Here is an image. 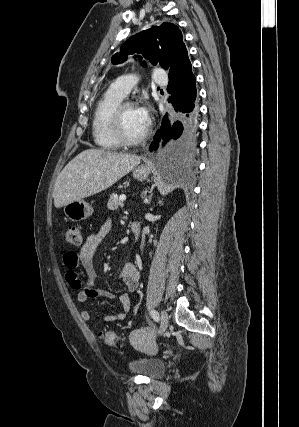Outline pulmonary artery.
I'll return each mask as SVG.
<instances>
[{
  "label": "pulmonary artery",
  "mask_w": 299,
  "mask_h": 427,
  "mask_svg": "<svg viewBox=\"0 0 299 427\" xmlns=\"http://www.w3.org/2000/svg\"><path fill=\"white\" fill-rule=\"evenodd\" d=\"M154 79L159 84H165L167 82L165 72L161 68L155 69ZM136 83L137 79L133 75L123 74L111 84V88L119 93L122 97H126L130 90L136 85Z\"/></svg>",
  "instance_id": "1"
}]
</instances>
